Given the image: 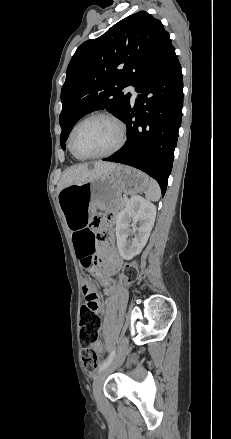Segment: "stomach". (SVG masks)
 I'll list each match as a JSON object with an SVG mask.
<instances>
[{"label": "stomach", "mask_w": 231, "mask_h": 439, "mask_svg": "<svg viewBox=\"0 0 231 439\" xmlns=\"http://www.w3.org/2000/svg\"><path fill=\"white\" fill-rule=\"evenodd\" d=\"M149 182V177L141 171L117 165L93 180L62 189L59 204L68 227L72 230L84 228L97 209L118 208V200L123 194L143 192Z\"/></svg>", "instance_id": "1"}]
</instances>
